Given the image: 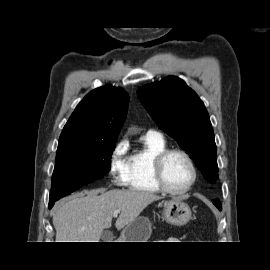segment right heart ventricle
<instances>
[{"mask_svg":"<svg viewBox=\"0 0 270 270\" xmlns=\"http://www.w3.org/2000/svg\"><path fill=\"white\" fill-rule=\"evenodd\" d=\"M166 148V141L161 136L146 134L143 137V147L129 157L126 185L131 190L149 194L161 191L153 178L152 162Z\"/></svg>","mask_w":270,"mask_h":270,"instance_id":"1","label":"right heart ventricle"}]
</instances>
